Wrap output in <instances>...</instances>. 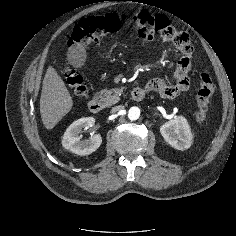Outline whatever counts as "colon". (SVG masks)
Wrapping results in <instances>:
<instances>
[{
  "instance_id": "colon-1",
  "label": "colon",
  "mask_w": 236,
  "mask_h": 236,
  "mask_svg": "<svg viewBox=\"0 0 236 236\" xmlns=\"http://www.w3.org/2000/svg\"><path fill=\"white\" fill-rule=\"evenodd\" d=\"M127 24L135 25L138 29L139 37L143 40L150 41L159 38L176 43L182 38V34L171 26L165 16L140 11L119 14L109 13L81 19L72 30L69 45L97 43L103 37L118 32ZM64 76L74 95L84 98L86 96V87L82 76L71 66L65 68ZM187 85L186 81L178 82L177 88L179 91H183ZM214 90L215 86L211 76L208 73H202L196 94V117L200 122L206 120L208 116Z\"/></svg>"
}]
</instances>
